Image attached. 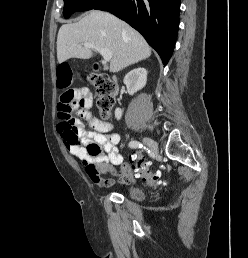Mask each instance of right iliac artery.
I'll return each mask as SVG.
<instances>
[{"label": "right iliac artery", "instance_id": "1", "mask_svg": "<svg viewBox=\"0 0 248 258\" xmlns=\"http://www.w3.org/2000/svg\"><path fill=\"white\" fill-rule=\"evenodd\" d=\"M129 147L130 148H144L145 149V147H143V144L140 143L139 141H136V140L130 141Z\"/></svg>", "mask_w": 248, "mask_h": 258}]
</instances>
